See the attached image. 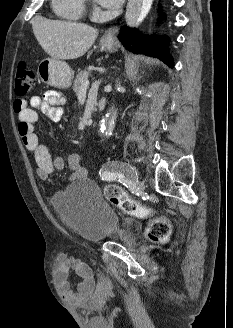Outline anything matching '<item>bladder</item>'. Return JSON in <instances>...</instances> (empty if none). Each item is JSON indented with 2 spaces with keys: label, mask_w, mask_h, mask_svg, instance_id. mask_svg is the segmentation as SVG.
<instances>
[{
  "label": "bladder",
  "mask_w": 233,
  "mask_h": 328,
  "mask_svg": "<svg viewBox=\"0 0 233 328\" xmlns=\"http://www.w3.org/2000/svg\"><path fill=\"white\" fill-rule=\"evenodd\" d=\"M51 204L61 220L86 241L115 238L127 245L133 243L132 238L121 231L117 214L91 180L71 183L52 196Z\"/></svg>",
  "instance_id": "31cf9c89"
}]
</instances>
